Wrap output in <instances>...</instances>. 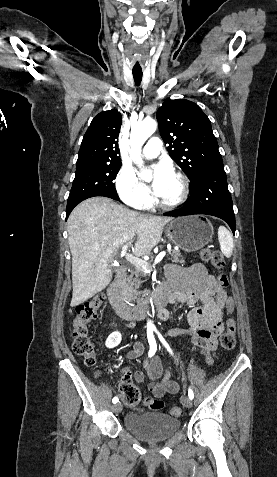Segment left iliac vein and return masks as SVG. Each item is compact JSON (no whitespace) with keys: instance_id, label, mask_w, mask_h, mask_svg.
<instances>
[{"instance_id":"obj_1","label":"left iliac vein","mask_w":277,"mask_h":477,"mask_svg":"<svg viewBox=\"0 0 277 477\" xmlns=\"http://www.w3.org/2000/svg\"><path fill=\"white\" fill-rule=\"evenodd\" d=\"M182 403L187 408L192 407V399H190L188 396H185V397L182 398Z\"/></svg>"}]
</instances>
